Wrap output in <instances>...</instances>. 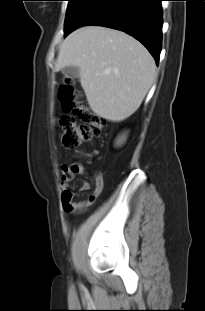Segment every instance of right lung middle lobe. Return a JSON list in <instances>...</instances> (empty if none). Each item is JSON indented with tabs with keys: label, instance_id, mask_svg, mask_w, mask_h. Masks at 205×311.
<instances>
[{
	"label": "right lung middle lobe",
	"instance_id": "dd1d6c3e",
	"mask_svg": "<svg viewBox=\"0 0 205 311\" xmlns=\"http://www.w3.org/2000/svg\"><path fill=\"white\" fill-rule=\"evenodd\" d=\"M68 8L65 20V35L69 32L70 28L85 9L90 0H68Z\"/></svg>",
	"mask_w": 205,
	"mask_h": 311
}]
</instances>
